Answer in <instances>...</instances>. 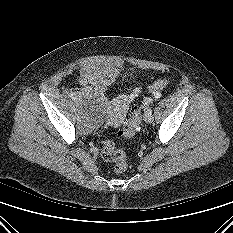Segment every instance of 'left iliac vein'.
I'll return each mask as SVG.
<instances>
[{
  "instance_id": "left-iliac-vein-1",
  "label": "left iliac vein",
  "mask_w": 233,
  "mask_h": 233,
  "mask_svg": "<svg viewBox=\"0 0 233 233\" xmlns=\"http://www.w3.org/2000/svg\"><path fill=\"white\" fill-rule=\"evenodd\" d=\"M153 119H154V117H153L152 113L145 112V114H144V120H145V122L151 123L153 121Z\"/></svg>"
}]
</instances>
